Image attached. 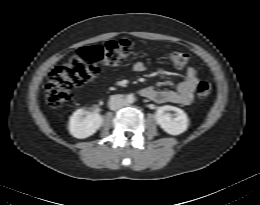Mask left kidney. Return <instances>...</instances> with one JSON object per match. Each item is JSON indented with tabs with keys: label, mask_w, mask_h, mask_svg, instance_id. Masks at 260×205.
I'll list each match as a JSON object with an SVG mask.
<instances>
[{
	"label": "left kidney",
	"mask_w": 260,
	"mask_h": 205,
	"mask_svg": "<svg viewBox=\"0 0 260 205\" xmlns=\"http://www.w3.org/2000/svg\"><path fill=\"white\" fill-rule=\"evenodd\" d=\"M168 110L175 112L174 118L165 113ZM155 119L157 124L170 135H179L185 132L189 125L187 114L180 108L169 105L158 107Z\"/></svg>",
	"instance_id": "obj_1"
}]
</instances>
